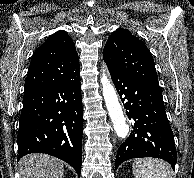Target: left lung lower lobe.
<instances>
[{"label":"left lung lower lobe","mask_w":194,"mask_h":178,"mask_svg":"<svg viewBox=\"0 0 194 178\" xmlns=\"http://www.w3.org/2000/svg\"><path fill=\"white\" fill-rule=\"evenodd\" d=\"M109 71L128 118L134 120L133 132L118 149L115 167L128 159L154 157L174 168L177 151L160 86Z\"/></svg>","instance_id":"0a47b994"}]
</instances>
